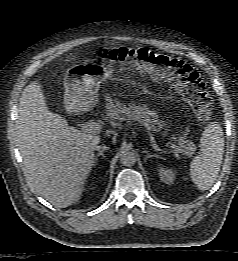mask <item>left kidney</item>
Listing matches in <instances>:
<instances>
[{"mask_svg":"<svg viewBox=\"0 0 238 261\" xmlns=\"http://www.w3.org/2000/svg\"><path fill=\"white\" fill-rule=\"evenodd\" d=\"M158 174L160 176L161 181L165 184H173L175 179V171L165 166L158 167Z\"/></svg>","mask_w":238,"mask_h":261,"instance_id":"5707ae66","label":"left kidney"}]
</instances>
